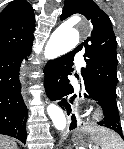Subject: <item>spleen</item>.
<instances>
[{"instance_id": "1", "label": "spleen", "mask_w": 124, "mask_h": 149, "mask_svg": "<svg viewBox=\"0 0 124 149\" xmlns=\"http://www.w3.org/2000/svg\"><path fill=\"white\" fill-rule=\"evenodd\" d=\"M97 140L101 145L102 149H120V139L118 136L107 137V136H97Z\"/></svg>"}]
</instances>
